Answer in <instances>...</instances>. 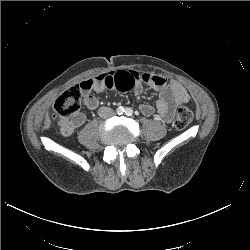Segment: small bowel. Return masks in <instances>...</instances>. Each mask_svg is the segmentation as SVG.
<instances>
[{"instance_id":"obj_1","label":"small bowel","mask_w":250,"mask_h":250,"mask_svg":"<svg viewBox=\"0 0 250 250\" xmlns=\"http://www.w3.org/2000/svg\"><path fill=\"white\" fill-rule=\"evenodd\" d=\"M148 84L159 91V98L155 107L141 104L140 111L146 116H157L164 122H170L175 109L189 101L187 91L178 83L168 81L166 78L155 74H143L134 70L116 71L99 74L93 78L86 79L80 83L83 94V104L89 110L98 107V99L91 92L100 93L107 89L125 92L133 90L136 96L142 93L143 84ZM86 121V116L78 112L70 119L58 122L60 133L68 137L81 127Z\"/></svg>"}]
</instances>
